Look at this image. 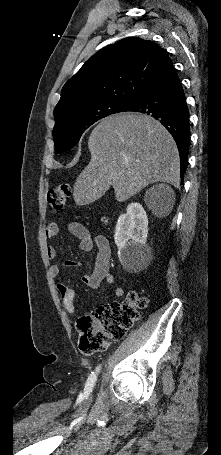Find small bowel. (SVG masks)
<instances>
[{
	"instance_id": "c3829d8e",
	"label": "small bowel",
	"mask_w": 221,
	"mask_h": 455,
	"mask_svg": "<svg viewBox=\"0 0 221 455\" xmlns=\"http://www.w3.org/2000/svg\"><path fill=\"white\" fill-rule=\"evenodd\" d=\"M69 230L79 239V248L84 252H89L93 249L94 245L97 247V254L95 258L94 269L90 273H83L81 280L84 284L92 289L100 287L102 283L113 284L114 276L110 272V259H111V248L106 237L98 235L93 237L88 229L78 222H72L69 224ZM48 239H54L57 237L58 228L54 223L49 224L45 231ZM47 258L51 262L50 274L53 277H57L61 273V266L55 263L58 257V250L55 246H49L46 251ZM80 266L78 261H66L64 263L65 268H76ZM59 294L62 299L63 306L69 314H74L76 308L74 305L75 293L71 287L63 282H59L57 285ZM114 294L117 297H121L124 294V289L120 286L114 288Z\"/></svg>"
}]
</instances>
